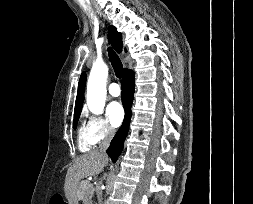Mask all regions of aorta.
<instances>
[{
	"mask_svg": "<svg viewBox=\"0 0 253 204\" xmlns=\"http://www.w3.org/2000/svg\"><path fill=\"white\" fill-rule=\"evenodd\" d=\"M108 67L104 63H95L87 83V106L94 114L103 112L106 101V80Z\"/></svg>",
	"mask_w": 253,
	"mask_h": 204,
	"instance_id": "1",
	"label": "aorta"
}]
</instances>
